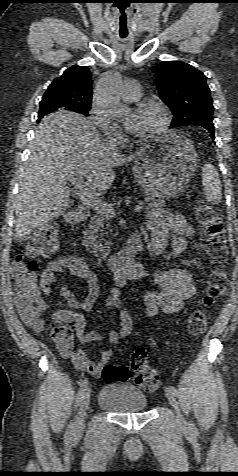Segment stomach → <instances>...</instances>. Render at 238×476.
Returning <instances> with one entry per match:
<instances>
[{
    "mask_svg": "<svg viewBox=\"0 0 238 476\" xmlns=\"http://www.w3.org/2000/svg\"><path fill=\"white\" fill-rule=\"evenodd\" d=\"M197 165V153L182 132L171 131L149 144L133 167L134 177L152 198L180 194Z\"/></svg>",
    "mask_w": 238,
    "mask_h": 476,
    "instance_id": "stomach-1",
    "label": "stomach"
}]
</instances>
